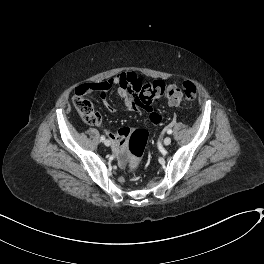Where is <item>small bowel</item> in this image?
<instances>
[{
	"mask_svg": "<svg viewBox=\"0 0 264 264\" xmlns=\"http://www.w3.org/2000/svg\"><path fill=\"white\" fill-rule=\"evenodd\" d=\"M143 84V80L140 76H138L135 72L126 71L111 79L98 83L97 90L99 92L100 98L102 99L107 110L112 113L114 109L110 105L108 101L107 91L111 86L117 87V94L120 98L124 100L125 108L129 111L138 113L140 112V108L134 101L135 95L137 91ZM171 106H177L178 104L169 102ZM146 111L149 112V121L152 125H159L161 122V116L157 112H153L150 107L145 108ZM101 125V124H100ZM104 132L108 136V138L114 143V149L112 150V154L116 158L118 164L121 167H124L127 163V154L125 152L124 146L127 138L130 136L132 129L129 127H121L117 132L109 131L104 128Z\"/></svg>",
	"mask_w": 264,
	"mask_h": 264,
	"instance_id": "1",
	"label": "small bowel"
}]
</instances>
